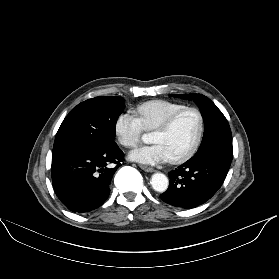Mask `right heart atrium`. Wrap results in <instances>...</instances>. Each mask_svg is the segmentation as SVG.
<instances>
[{
  "instance_id": "obj_1",
  "label": "right heart atrium",
  "mask_w": 279,
  "mask_h": 279,
  "mask_svg": "<svg viewBox=\"0 0 279 279\" xmlns=\"http://www.w3.org/2000/svg\"><path fill=\"white\" fill-rule=\"evenodd\" d=\"M114 131L123 146L132 148L140 143L144 129L137 116L126 111L117 117Z\"/></svg>"
}]
</instances>
